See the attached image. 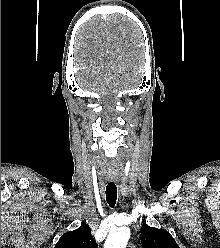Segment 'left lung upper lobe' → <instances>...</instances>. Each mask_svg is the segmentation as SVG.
Here are the masks:
<instances>
[{"instance_id": "left-lung-upper-lobe-1", "label": "left lung upper lobe", "mask_w": 220, "mask_h": 248, "mask_svg": "<svg viewBox=\"0 0 220 248\" xmlns=\"http://www.w3.org/2000/svg\"><path fill=\"white\" fill-rule=\"evenodd\" d=\"M141 242L144 248H179L174 238L164 229L143 225Z\"/></svg>"}]
</instances>
